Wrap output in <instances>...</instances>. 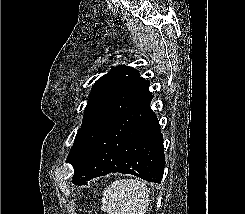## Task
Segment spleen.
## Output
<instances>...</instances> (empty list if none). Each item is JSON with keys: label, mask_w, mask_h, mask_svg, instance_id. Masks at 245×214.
Segmentation results:
<instances>
[{"label": "spleen", "mask_w": 245, "mask_h": 214, "mask_svg": "<svg viewBox=\"0 0 245 214\" xmlns=\"http://www.w3.org/2000/svg\"><path fill=\"white\" fill-rule=\"evenodd\" d=\"M149 206V190L138 179L116 180L103 192L102 211L108 214H145Z\"/></svg>", "instance_id": "1"}]
</instances>
